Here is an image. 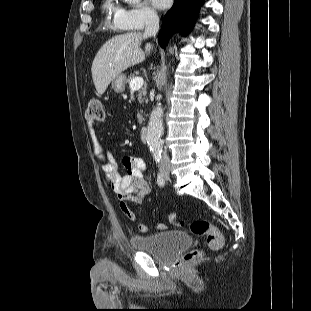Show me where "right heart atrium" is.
<instances>
[{
  "label": "right heart atrium",
  "mask_w": 311,
  "mask_h": 311,
  "mask_svg": "<svg viewBox=\"0 0 311 311\" xmlns=\"http://www.w3.org/2000/svg\"><path fill=\"white\" fill-rule=\"evenodd\" d=\"M158 19L156 11L146 5H132L123 12V24L126 29L131 31H140L146 26L154 24Z\"/></svg>",
  "instance_id": "right-heart-atrium-1"
}]
</instances>
